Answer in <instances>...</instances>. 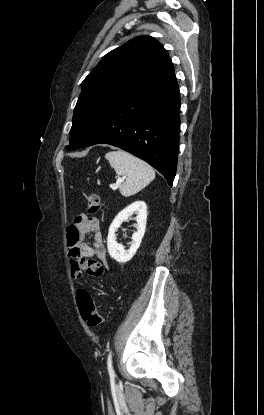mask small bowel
Returning <instances> with one entry per match:
<instances>
[{
  "label": "small bowel",
  "instance_id": "small-bowel-1",
  "mask_svg": "<svg viewBox=\"0 0 264 415\" xmlns=\"http://www.w3.org/2000/svg\"><path fill=\"white\" fill-rule=\"evenodd\" d=\"M90 234H92V240L87 241L86 237ZM67 246L70 256L96 257L103 265L108 262L106 248L96 218L76 217L67 230Z\"/></svg>",
  "mask_w": 264,
  "mask_h": 415
}]
</instances>
